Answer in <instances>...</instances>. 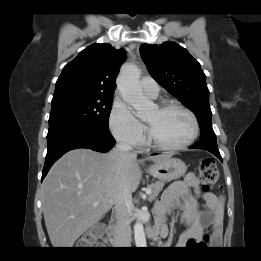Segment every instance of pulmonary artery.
I'll use <instances>...</instances> for the list:
<instances>
[{"mask_svg":"<svg viewBox=\"0 0 261 261\" xmlns=\"http://www.w3.org/2000/svg\"><path fill=\"white\" fill-rule=\"evenodd\" d=\"M140 86L145 94L155 98L159 95V85L150 76L143 77L140 80Z\"/></svg>","mask_w":261,"mask_h":261,"instance_id":"e3ab8cb5","label":"pulmonary artery"}]
</instances>
